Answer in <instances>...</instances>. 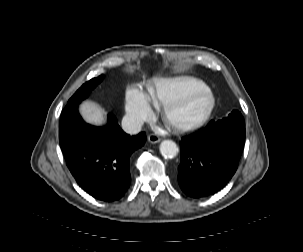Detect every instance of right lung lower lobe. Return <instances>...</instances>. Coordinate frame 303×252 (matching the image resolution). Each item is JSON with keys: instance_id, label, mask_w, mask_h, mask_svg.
<instances>
[{"instance_id": "obj_1", "label": "right lung lower lobe", "mask_w": 303, "mask_h": 252, "mask_svg": "<svg viewBox=\"0 0 303 252\" xmlns=\"http://www.w3.org/2000/svg\"><path fill=\"white\" fill-rule=\"evenodd\" d=\"M79 102L61 113L59 141L67 166L79 186L96 199H120L131 183L130 156L146 142L144 132L129 136L109 114L105 127L83 121Z\"/></svg>"}]
</instances>
